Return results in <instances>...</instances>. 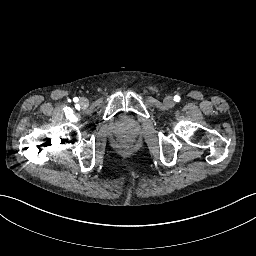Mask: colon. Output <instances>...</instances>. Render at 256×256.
Instances as JSON below:
<instances>
[{
  "label": "colon",
  "mask_w": 256,
  "mask_h": 256,
  "mask_svg": "<svg viewBox=\"0 0 256 256\" xmlns=\"http://www.w3.org/2000/svg\"><path fill=\"white\" fill-rule=\"evenodd\" d=\"M119 146H120V148H122L123 151H125V152H129V151H131V149H132V144H131V142L125 141V140L120 141Z\"/></svg>",
  "instance_id": "1"
}]
</instances>
